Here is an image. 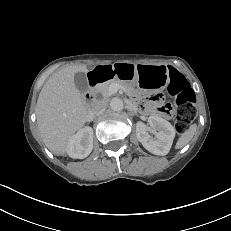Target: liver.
I'll list each match as a JSON object with an SVG mask.
<instances>
[{
    "label": "liver",
    "mask_w": 231,
    "mask_h": 231,
    "mask_svg": "<svg viewBox=\"0 0 231 231\" xmlns=\"http://www.w3.org/2000/svg\"><path fill=\"white\" fill-rule=\"evenodd\" d=\"M87 66H67L48 78L42 87L36 106L39 132L46 147L56 155L67 153L68 142L87 121L74 75L87 72Z\"/></svg>",
    "instance_id": "6515ba94"
}]
</instances>
